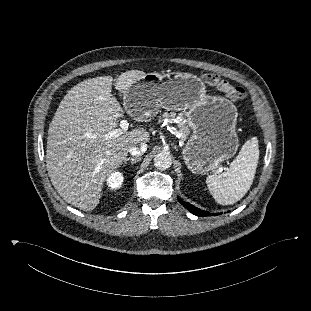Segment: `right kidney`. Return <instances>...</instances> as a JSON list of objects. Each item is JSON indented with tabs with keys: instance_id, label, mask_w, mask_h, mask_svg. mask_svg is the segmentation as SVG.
Masks as SVG:
<instances>
[{
	"instance_id": "1",
	"label": "right kidney",
	"mask_w": 311,
	"mask_h": 311,
	"mask_svg": "<svg viewBox=\"0 0 311 311\" xmlns=\"http://www.w3.org/2000/svg\"><path fill=\"white\" fill-rule=\"evenodd\" d=\"M124 180V176L121 172L115 171L111 173L107 178V186L110 190H117L121 187Z\"/></svg>"
}]
</instances>
